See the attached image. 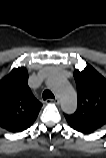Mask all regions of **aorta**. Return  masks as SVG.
<instances>
[{
	"label": "aorta",
	"mask_w": 106,
	"mask_h": 158,
	"mask_svg": "<svg viewBox=\"0 0 106 158\" xmlns=\"http://www.w3.org/2000/svg\"><path fill=\"white\" fill-rule=\"evenodd\" d=\"M47 85L58 94L61 108L65 113L75 112L77 108L76 92L65 78L52 74L47 79Z\"/></svg>",
	"instance_id": "aorta-1"
}]
</instances>
